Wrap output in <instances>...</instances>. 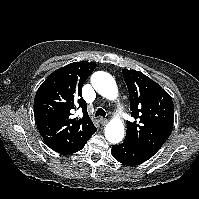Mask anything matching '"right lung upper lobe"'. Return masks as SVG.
<instances>
[{
    "label": "right lung upper lobe",
    "instance_id": "cb5924a9",
    "mask_svg": "<svg viewBox=\"0 0 199 199\" xmlns=\"http://www.w3.org/2000/svg\"><path fill=\"white\" fill-rule=\"evenodd\" d=\"M96 67L94 62H74L51 73L34 99L38 130L49 147L69 148L88 139L96 130L87 113L81 88ZM81 107L83 117L73 118Z\"/></svg>",
    "mask_w": 199,
    "mask_h": 199
}]
</instances>
